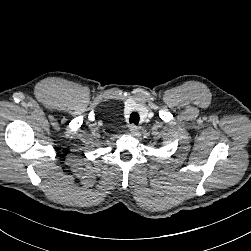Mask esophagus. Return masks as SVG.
Returning <instances> with one entry per match:
<instances>
[{
	"label": "esophagus",
	"instance_id": "1",
	"mask_svg": "<svg viewBox=\"0 0 251 251\" xmlns=\"http://www.w3.org/2000/svg\"><path fill=\"white\" fill-rule=\"evenodd\" d=\"M129 130L133 135H135L139 132V127L132 124V125H130Z\"/></svg>",
	"mask_w": 251,
	"mask_h": 251
}]
</instances>
